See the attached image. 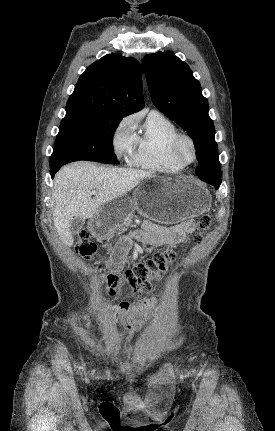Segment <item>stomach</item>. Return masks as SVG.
<instances>
[{
    "instance_id": "obj_1",
    "label": "stomach",
    "mask_w": 275,
    "mask_h": 431,
    "mask_svg": "<svg viewBox=\"0 0 275 431\" xmlns=\"http://www.w3.org/2000/svg\"><path fill=\"white\" fill-rule=\"evenodd\" d=\"M152 187L139 186L132 198L122 196L101 206L89 225L93 236L108 238L136 209L147 218L175 224L206 213L212 203L207 190L185 177H150Z\"/></svg>"
}]
</instances>
